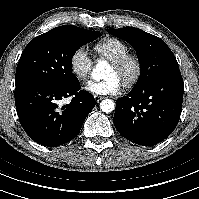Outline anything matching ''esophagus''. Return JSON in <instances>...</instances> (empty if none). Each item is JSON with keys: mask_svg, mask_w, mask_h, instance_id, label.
Segmentation results:
<instances>
[{"mask_svg": "<svg viewBox=\"0 0 199 199\" xmlns=\"http://www.w3.org/2000/svg\"><path fill=\"white\" fill-rule=\"evenodd\" d=\"M103 99V97L98 96V95H94V100L99 103L101 100Z\"/></svg>", "mask_w": 199, "mask_h": 199, "instance_id": "esophagus-1", "label": "esophagus"}]
</instances>
